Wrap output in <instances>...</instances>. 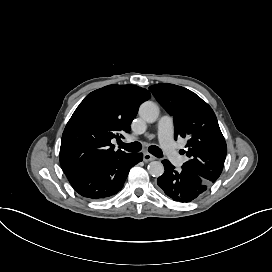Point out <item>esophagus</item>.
Masks as SVG:
<instances>
[{
  "label": "esophagus",
  "instance_id": "obj_1",
  "mask_svg": "<svg viewBox=\"0 0 272 272\" xmlns=\"http://www.w3.org/2000/svg\"><path fill=\"white\" fill-rule=\"evenodd\" d=\"M155 159H156V157L153 156L152 154L147 153V152L143 153V161L147 162V161H153Z\"/></svg>",
  "mask_w": 272,
  "mask_h": 272
}]
</instances>
